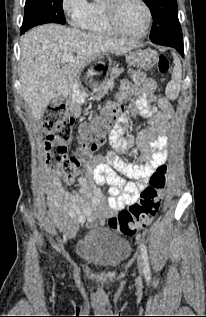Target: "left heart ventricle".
I'll use <instances>...</instances> for the list:
<instances>
[{"mask_svg": "<svg viewBox=\"0 0 206 317\" xmlns=\"http://www.w3.org/2000/svg\"><path fill=\"white\" fill-rule=\"evenodd\" d=\"M146 12L137 0H124L118 11V24L127 34L141 33L146 26Z\"/></svg>", "mask_w": 206, "mask_h": 317, "instance_id": "b2bd125f", "label": "left heart ventricle"}]
</instances>
